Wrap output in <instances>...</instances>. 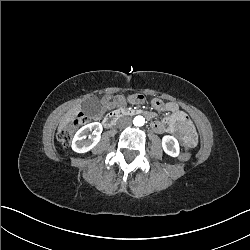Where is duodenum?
I'll return each instance as SVG.
<instances>
[{"instance_id": "410a0bca", "label": "duodenum", "mask_w": 250, "mask_h": 250, "mask_svg": "<svg viewBox=\"0 0 250 250\" xmlns=\"http://www.w3.org/2000/svg\"><path fill=\"white\" fill-rule=\"evenodd\" d=\"M135 115H145V116H149V114L143 110H133V111H129L126 109H115L113 111H111L104 119L103 125L106 129H111L115 126L116 122L118 120H120L121 118L128 116V117H132Z\"/></svg>"}]
</instances>
